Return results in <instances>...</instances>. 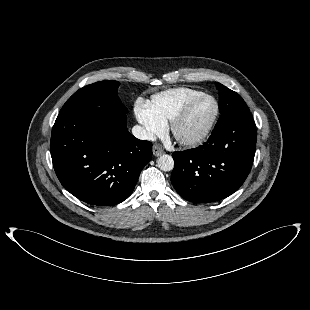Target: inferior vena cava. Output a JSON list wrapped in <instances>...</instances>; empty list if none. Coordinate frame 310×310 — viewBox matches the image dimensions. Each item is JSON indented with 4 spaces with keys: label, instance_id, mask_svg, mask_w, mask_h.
I'll use <instances>...</instances> for the list:
<instances>
[{
    "label": "inferior vena cava",
    "instance_id": "1",
    "mask_svg": "<svg viewBox=\"0 0 310 310\" xmlns=\"http://www.w3.org/2000/svg\"><path fill=\"white\" fill-rule=\"evenodd\" d=\"M132 134L140 140L154 141L156 139L155 135L152 132L146 130L140 125H135L132 128Z\"/></svg>",
    "mask_w": 310,
    "mask_h": 310
}]
</instances>
